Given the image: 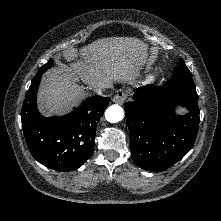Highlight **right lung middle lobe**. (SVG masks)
<instances>
[{"mask_svg":"<svg viewBox=\"0 0 221 221\" xmlns=\"http://www.w3.org/2000/svg\"><path fill=\"white\" fill-rule=\"evenodd\" d=\"M53 64V60L50 59L45 65H43L37 74L42 75L47 69H49Z\"/></svg>","mask_w":221,"mask_h":221,"instance_id":"right-lung-middle-lobe-1","label":"right lung middle lobe"}]
</instances>
